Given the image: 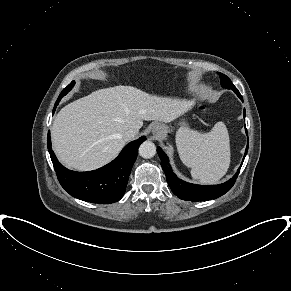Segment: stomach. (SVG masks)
Wrapping results in <instances>:
<instances>
[{"label":"stomach","mask_w":291,"mask_h":291,"mask_svg":"<svg viewBox=\"0 0 291 291\" xmlns=\"http://www.w3.org/2000/svg\"><path fill=\"white\" fill-rule=\"evenodd\" d=\"M182 129H187V127H185L184 123H182V126L180 127L179 130H182Z\"/></svg>","instance_id":"1"}]
</instances>
